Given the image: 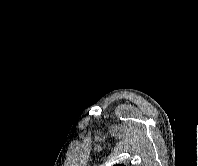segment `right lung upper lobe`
I'll use <instances>...</instances> for the list:
<instances>
[{
    "label": "right lung upper lobe",
    "mask_w": 198,
    "mask_h": 166,
    "mask_svg": "<svg viewBox=\"0 0 198 166\" xmlns=\"http://www.w3.org/2000/svg\"><path fill=\"white\" fill-rule=\"evenodd\" d=\"M115 166H125V165L122 164V165H115Z\"/></svg>",
    "instance_id": "cb5924a9"
}]
</instances>
